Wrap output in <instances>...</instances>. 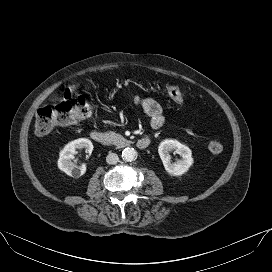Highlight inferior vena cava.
I'll return each mask as SVG.
<instances>
[{
	"label": "inferior vena cava",
	"mask_w": 272,
	"mask_h": 272,
	"mask_svg": "<svg viewBox=\"0 0 272 272\" xmlns=\"http://www.w3.org/2000/svg\"><path fill=\"white\" fill-rule=\"evenodd\" d=\"M119 161L118 155L115 153H109L106 157V162L108 164H116Z\"/></svg>",
	"instance_id": "inferior-vena-cava-1"
}]
</instances>
